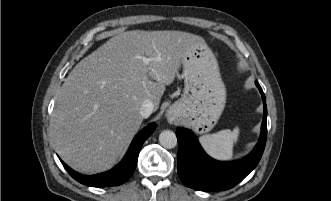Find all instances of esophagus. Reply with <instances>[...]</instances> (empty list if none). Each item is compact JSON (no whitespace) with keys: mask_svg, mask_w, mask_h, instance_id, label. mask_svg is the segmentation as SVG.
Segmentation results:
<instances>
[{"mask_svg":"<svg viewBox=\"0 0 331 201\" xmlns=\"http://www.w3.org/2000/svg\"><path fill=\"white\" fill-rule=\"evenodd\" d=\"M173 118H174V116H173V113H172V112L167 113V119H168V121H169L170 123L173 122Z\"/></svg>","mask_w":331,"mask_h":201,"instance_id":"esophagus-1","label":"esophagus"}]
</instances>
